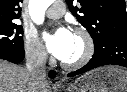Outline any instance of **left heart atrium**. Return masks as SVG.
Masks as SVG:
<instances>
[{
    "label": "left heart atrium",
    "instance_id": "39dd6f15",
    "mask_svg": "<svg viewBox=\"0 0 127 92\" xmlns=\"http://www.w3.org/2000/svg\"><path fill=\"white\" fill-rule=\"evenodd\" d=\"M74 34L67 28L61 27L53 33H46L44 40L48 51L56 58L63 60L72 45Z\"/></svg>",
    "mask_w": 127,
    "mask_h": 92
}]
</instances>
